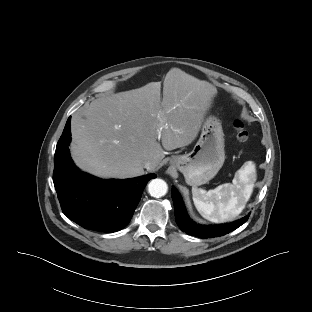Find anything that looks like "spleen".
<instances>
[{
  "instance_id": "spleen-1",
  "label": "spleen",
  "mask_w": 312,
  "mask_h": 312,
  "mask_svg": "<svg viewBox=\"0 0 312 312\" xmlns=\"http://www.w3.org/2000/svg\"><path fill=\"white\" fill-rule=\"evenodd\" d=\"M250 174L251 167L245 164L237 171L233 183L222 184L207 192L193 187L192 196L198 212L212 222L230 221L238 216L252 194Z\"/></svg>"
}]
</instances>
